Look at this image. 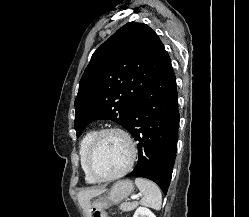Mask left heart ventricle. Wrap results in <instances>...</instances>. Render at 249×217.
<instances>
[{
	"instance_id": "obj_1",
	"label": "left heart ventricle",
	"mask_w": 249,
	"mask_h": 217,
	"mask_svg": "<svg viewBox=\"0 0 249 217\" xmlns=\"http://www.w3.org/2000/svg\"><path fill=\"white\" fill-rule=\"evenodd\" d=\"M130 158V148L123 136L105 135L98 143L92 158V168L99 176H110L121 171Z\"/></svg>"
}]
</instances>
